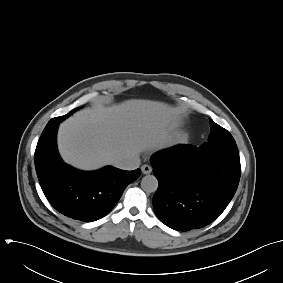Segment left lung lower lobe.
<instances>
[{
    "label": "left lung lower lobe",
    "mask_w": 283,
    "mask_h": 283,
    "mask_svg": "<svg viewBox=\"0 0 283 283\" xmlns=\"http://www.w3.org/2000/svg\"><path fill=\"white\" fill-rule=\"evenodd\" d=\"M159 181L153 197L157 217L168 227L189 231L214 221L233 198L240 158L178 145L151 157Z\"/></svg>",
    "instance_id": "left-lung-lower-lobe-1"
}]
</instances>
